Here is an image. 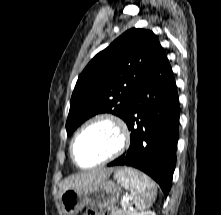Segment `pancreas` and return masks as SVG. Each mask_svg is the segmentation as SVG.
<instances>
[{"label":"pancreas","instance_id":"obj_1","mask_svg":"<svg viewBox=\"0 0 221 215\" xmlns=\"http://www.w3.org/2000/svg\"><path fill=\"white\" fill-rule=\"evenodd\" d=\"M111 214L112 215H135L136 213L130 209H125V210H112Z\"/></svg>","mask_w":221,"mask_h":215}]
</instances>
